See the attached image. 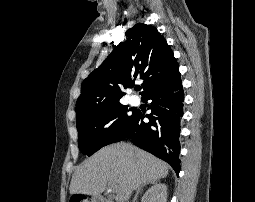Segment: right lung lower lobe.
<instances>
[{"label":"right lung lower lobe","instance_id":"obj_1","mask_svg":"<svg viewBox=\"0 0 255 202\" xmlns=\"http://www.w3.org/2000/svg\"><path fill=\"white\" fill-rule=\"evenodd\" d=\"M142 99L145 102L151 101L149 108L152 112L147 115L149 122L145 123L144 114L137 111L135 120L123 139L132 138L135 145L169 163L178 175V137L184 101L181 79L146 94Z\"/></svg>","mask_w":255,"mask_h":202}]
</instances>
